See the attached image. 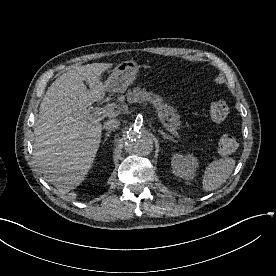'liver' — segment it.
I'll return each instance as SVG.
<instances>
[{
	"label": "liver",
	"instance_id": "6515ba94",
	"mask_svg": "<svg viewBox=\"0 0 276 276\" xmlns=\"http://www.w3.org/2000/svg\"><path fill=\"white\" fill-rule=\"evenodd\" d=\"M111 66L92 63L67 71L50 85L40 104L34 155L45 180L62 194L82 183L96 157L102 125L89 119L87 107L104 98L101 76Z\"/></svg>",
	"mask_w": 276,
	"mask_h": 276
}]
</instances>
